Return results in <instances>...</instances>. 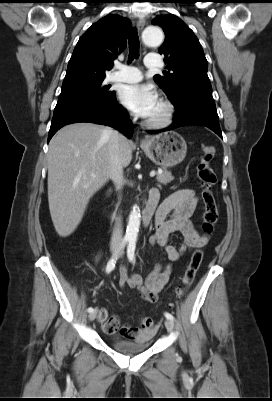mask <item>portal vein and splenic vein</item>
Wrapping results in <instances>:
<instances>
[{
  "label": "portal vein and splenic vein",
  "instance_id": "1",
  "mask_svg": "<svg viewBox=\"0 0 272 401\" xmlns=\"http://www.w3.org/2000/svg\"><path fill=\"white\" fill-rule=\"evenodd\" d=\"M155 171L150 172V177H154L155 176Z\"/></svg>",
  "mask_w": 272,
  "mask_h": 401
}]
</instances>
